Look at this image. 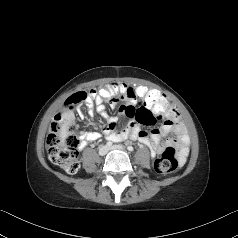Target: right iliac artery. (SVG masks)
I'll use <instances>...</instances> for the list:
<instances>
[{"instance_id":"right-iliac-artery-1","label":"right iliac artery","mask_w":238,"mask_h":238,"mask_svg":"<svg viewBox=\"0 0 238 238\" xmlns=\"http://www.w3.org/2000/svg\"><path fill=\"white\" fill-rule=\"evenodd\" d=\"M106 146L111 147V146H112V142H110V141L107 142V143H106Z\"/></svg>"}]
</instances>
